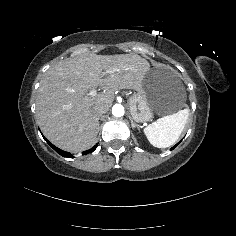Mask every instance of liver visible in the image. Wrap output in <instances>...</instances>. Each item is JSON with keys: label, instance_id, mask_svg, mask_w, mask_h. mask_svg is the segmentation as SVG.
Instances as JSON below:
<instances>
[{"label": "liver", "instance_id": "obj_1", "mask_svg": "<svg viewBox=\"0 0 236 236\" xmlns=\"http://www.w3.org/2000/svg\"><path fill=\"white\" fill-rule=\"evenodd\" d=\"M151 65L138 54H80L57 62L44 74L36 99V122L50 143L61 150L82 152L96 144L95 108L105 113L118 88H138ZM106 70V72H104ZM104 73V75H102ZM102 91L86 100L87 90Z\"/></svg>", "mask_w": 236, "mask_h": 236}]
</instances>
